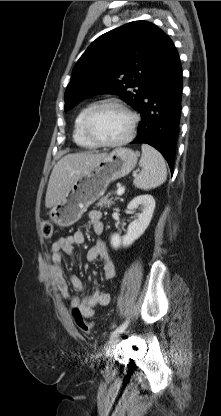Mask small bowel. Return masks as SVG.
<instances>
[{
	"instance_id": "small-bowel-1",
	"label": "small bowel",
	"mask_w": 221,
	"mask_h": 416,
	"mask_svg": "<svg viewBox=\"0 0 221 416\" xmlns=\"http://www.w3.org/2000/svg\"><path fill=\"white\" fill-rule=\"evenodd\" d=\"M89 223L95 234L100 235L104 230L102 214L98 210H91L88 213ZM84 232L78 230L67 237L58 238L51 248V263L48 268L49 279L52 286L59 293L62 299L69 300L70 310L77 308L86 318H91L97 306H106L110 303V294L103 291H94L91 294L85 292L82 280L75 274L68 277L64 276L62 268V253H72L73 247L84 242ZM87 259L90 262L99 261L102 265L103 276L110 280L115 276V265L111 259L106 245L102 241H97L88 253ZM68 283L79 293V296H72L69 291Z\"/></svg>"
}]
</instances>
